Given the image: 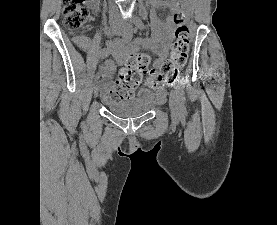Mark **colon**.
Listing matches in <instances>:
<instances>
[{"mask_svg":"<svg viewBox=\"0 0 277 225\" xmlns=\"http://www.w3.org/2000/svg\"><path fill=\"white\" fill-rule=\"evenodd\" d=\"M180 0H178L179 2ZM63 23L71 32L80 30L89 19V11L85 0H63ZM173 22L175 24V40L171 46L169 59L163 62L159 70L150 71V56L145 53H134L124 59L118 78L114 85L107 91V100L122 102L133 97L135 90L140 85L142 77L151 73L154 77L155 87L174 82L185 66L189 54V29L186 24V15L176 7ZM81 41V39H77Z\"/></svg>","mask_w":277,"mask_h":225,"instance_id":"colon-1","label":"colon"}]
</instances>
